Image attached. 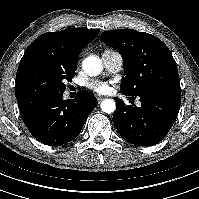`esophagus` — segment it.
<instances>
[{
	"instance_id": "obj_1",
	"label": "esophagus",
	"mask_w": 199,
	"mask_h": 199,
	"mask_svg": "<svg viewBox=\"0 0 199 199\" xmlns=\"http://www.w3.org/2000/svg\"><path fill=\"white\" fill-rule=\"evenodd\" d=\"M96 98H97L98 102H100L104 99V97L101 95H96Z\"/></svg>"
}]
</instances>
